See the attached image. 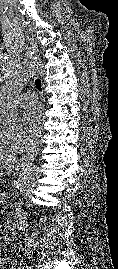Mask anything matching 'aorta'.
Returning <instances> with one entry per match:
<instances>
[{
  "mask_svg": "<svg viewBox=\"0 0 118 269\" xmlns=\"http://www.w3.org/2000/svg\"><path fill=\"white\" fill-rule=\"evenodd\" d=\"M37 67V59L25 58L10 75L0 93V117L10 123L17 121L19 116L17 99L23 87L30 80ZM40 176L37 166L26 168L18 180V189L21 193L29 190Z\"/></svg>",
  "mask_w": 118,
  "mask_h": 269,
  "instance_id": "762f6f07",
  "label": "aorta"
}]
</instances>
